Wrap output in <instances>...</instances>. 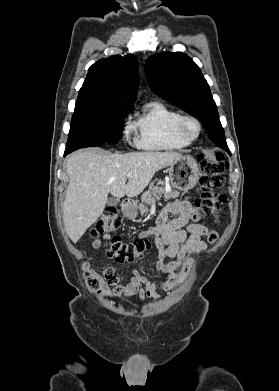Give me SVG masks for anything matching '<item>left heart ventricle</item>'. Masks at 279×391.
Instances as JSON below:
<instances>
[{"label":"left heart ventricle","mask_w":279,"mask_h":391,"mask_svg":"<svg viewBox=\"0 0 279 391\" xmlns=\"http://www.w3.org/2000/svg\"><path fill=\"white\" fill-rule=\"evenodd\" d=\"M194 131H195V128L192 124H189L187 127H186V132L189 136H193L194 135Z\"/></svg>","instance_id":"left-heart-ventricle-1"}]
</instances>
